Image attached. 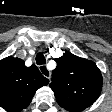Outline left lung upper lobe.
<instances>
[{
  "label": "left lung upper lobe",
  "instance_id": "left-lung-upper-lobe-1",
  "mask_svg": "<svg viewBox=\"0 0 112 112\" xmlns=\"http://www.w3.org/2000/svg\"><path fill=\"white\" fill-rule=\"evenodd\" d=\"M55 61L50 88L57 103L69 112H80L92 105L102 90V75L96 64L68 51Z\"/></svg>",
  "mask_w": 112,
  "mask_h": 112
}]
</instances>
